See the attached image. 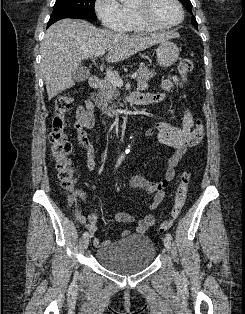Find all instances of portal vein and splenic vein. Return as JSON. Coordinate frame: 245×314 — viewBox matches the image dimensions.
Returning <instances> with one entry per match:
<instances>
[{
    "mask_svg": "<svg viewBox=\"0 0 245 314\" xmlns=\"http://www.w3.org/2000/svg\"><path fill=\"white\" fill-rule=\"evenodd\" d=\"M105 52H106L105 50L99 51L98 53L95 54V57L102 56L105 54ZM106 72H107V77L109 78L112 84L118 87L123 86V80L120 77L114 74L110 69H107ZM137 76H138V73H133L131 75V79H135Z\"/></svg>",
    "mask_w": 245,
    "mask_h": 314,
    "instance_id": "1",
    "label": "portal vein and splenic vein"
}]
</instances>
